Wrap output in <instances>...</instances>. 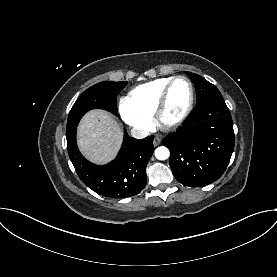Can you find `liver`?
Wrapping results in <instances>:
<instances>
[{
    "label": "liver",
    "mask_w": 277,
    "mask_h": 277,
    "mask_svg": "<svg viewBox=\"0 0 277 277\" xmlns=\"http://www.w3.org/2000/svg\"><path fill=\"white\" fill-rule=\"evenodd\" d=\"M78 146L91 162L106 164L117 154L122 143V130L105 111L92 110L78 127Z\"/></svg>",
    "instance_id": "6515ba94"
}]
</instances>
